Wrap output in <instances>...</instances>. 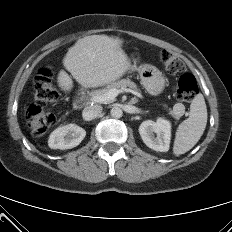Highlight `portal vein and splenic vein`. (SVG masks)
Returning a JSON list of instances; mask_svg holds the SVG:
<instances>
[{"label":"portal vein and splenic vein","mask_w":232,"mask_h":232,"mask_svg":"<svg viewBox=\"0 0 232 232\" xmlns=\"http://www.w3.org/2000/svg\"><path fill=\"white\" fill-rule=\"evenodd\" d=\"M120 93L118 89H112L108 93L104 94L103 96H94L92 98V101L97 102V103H103L106 101H113L115 97Z\"/></svg>","instance_id":"obj_1"}]
</instances>
